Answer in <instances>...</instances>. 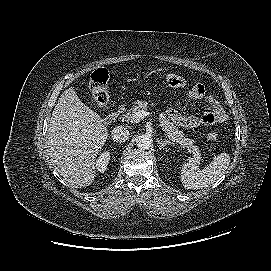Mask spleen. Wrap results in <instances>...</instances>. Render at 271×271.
<instances>
[{
	"mask_svg": "<svg viewBox=\"0 0 271 271\" xmlns=\"http://www.w3.org/2000/svg\"><path fill=\"white\" fill-rule=\"evenodd\" d=\"M231 158L227 153L215 157L204 169H199L192 159L185 162L181 168V181L186 189H202L213 184L227 170Z\"/></svg>",
	"mask_w": 271,
	"mask_h": 271,
	"instance_id": "1",
	"label": "spleen"
}]
</instances>
